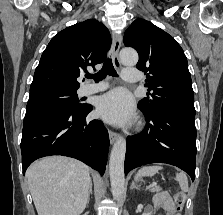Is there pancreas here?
<instances>
[{"label": "pancreas", "mask_w": 223, "mask_h": 215, "mask_svg": "<svg viewBox=\"0 0 223 215\" xmlns=\"http://www.w3.org/2000/svg\"><path fill=\"white\" fill-rule=\"evenodd\" d=\"M150 191H161V187H152Z\"/></svg>", "instance_id": "obj_1"}]
</instances>
